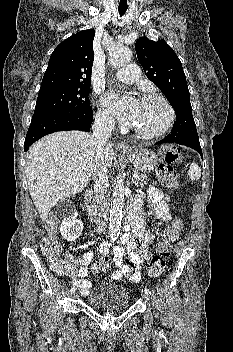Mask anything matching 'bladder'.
<instances>
[{
	"mask_svg": "<svg viewBox=\"0 0 233 352\" xmlns=\"http://www.w3.org/2000/svg\"><path fill=\"white\" fill-rule=\"evenodd\" d=\"M88 305L102 311L125 310L130 305V294L120 284L99 283L90 291Z\"/></svg>",
	"mask_w": 233,
	"mask_h": 352,
	"instance_id": "31cf9c89",
	"label": "bladder"
}]
</instances>
